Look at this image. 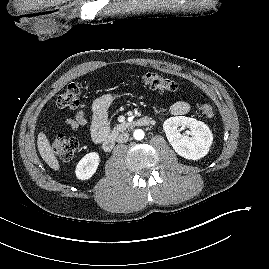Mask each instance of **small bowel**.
Segmentation results:
<instances>
[{"label": "small bowel", "mask_w": 269, "mask_h": 269, "mask_svg": "<svg viewBox=\"0 0 269 269\" xmlns=\"http://www.w3.org/2000/svg\"><path fill=\"white\" fill-rule=\"evenodd\" d=\"M113 101L111 95L98 97L92 105L91 135L96 142H101L108 133V109ZM190 110V105L184 100L176 101L171 106V113L174 116H183ZM67 124L78 130L87 125L84 110H79L74 118H68Z\"/></svg>", "instance_id": "obj_1"}]
</instances>
